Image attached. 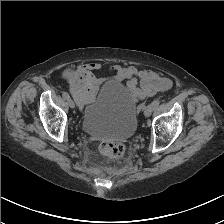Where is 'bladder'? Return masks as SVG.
<instances>
[{
    "label": "bladder",
    "mask_w": 224,
    "mask_h": 224,
    "mask_svg": "<svg viewBox=\"0 0 224 224\" xmlns=\"http://www.w3.org/2000/svg\"><path fill=\"white\" fill-rule=\"evenodd\" d=\"M81 127L92 137L128 139L137 128L136 102L118 83L107 81L85 105Z\"/></svg>",
    "instance_id": "31cf9c89"
}]
</instances>
